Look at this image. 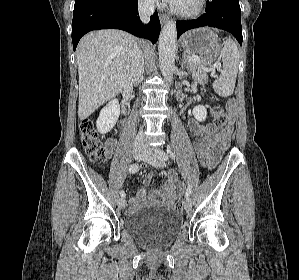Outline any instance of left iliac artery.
<instances>
[{
  "instance_id": "left-iliac-artery-1",
  "label": "left iliac artery",
  "mask_w": 299,
  "mask_h": 280,
  "mask_svg": "<svg viewBox=\"0 0 299 280\" xmlns=\"http://www.w3.org/2000/svg\"><path fill=\"white\" fill-rule=\"evenodd\" d=\"M156 155L159 159L165 161L169 158V156H172L173 157V153H171V151L169 149H167V152H164L163 150L161 149H157L156 150ZM191 185L188 186L187 190H186V193H185V197L186 199L189 198L190 194H191Z\"/></svg>"
}]
</instances>
